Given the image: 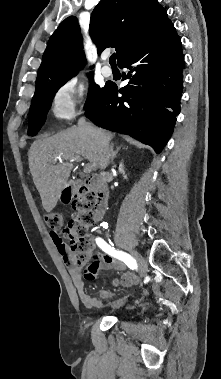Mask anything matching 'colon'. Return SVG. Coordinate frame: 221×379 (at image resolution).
Wrapping results in <instances>:
<instances>
[{"label": "colon", "mask_w": 221, "mask_h": 379, "mask_svg": "<svg viewBox=\"0 0 221 379\" xmlns=\"http://www.w3.org/2000/svg\"><path fill=\"white\" fill-rule=\"evenodd\" d=\"M94 200L95 193L89 190H85L78 199L74 200L72 206L75 210V216L63 231L64 236L69 241L74 263L81 268L88 266L87 258L90 255L96 257V253L91 251L92 240L89 234V226L94 220L92 211ZM43 219L51 234L58 236L57 231L62 227L61 215L50 212L46 213Z\"/></svg>", "instance_id": "5ec220e1"}]
</instances>
